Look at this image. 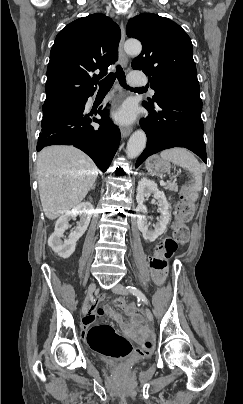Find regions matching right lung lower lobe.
Instances as JSON below:
<instances>
[{
  "instance_id": "1",
  "label": "right lung lower lobe",
  "mask_w": 243,
  "mask_h": 404,
  "mask_svg": "<svg viewBox=\"0 0 243 404\" xmlns=\"http://www.w3.org/2000/svg\"><path fill=\"white\" fill-rule=\"evenodd\" d=\"M89 97V96H88ZM57 105L43 112L37 151L56 144L73 145L89 155L98 168L105 172L120 142V131L108 118L106 110L99 109L101 119L84 114L87 98ZM100 124L99 128L90 125Z\"/></svg>"
}]
</instances>
